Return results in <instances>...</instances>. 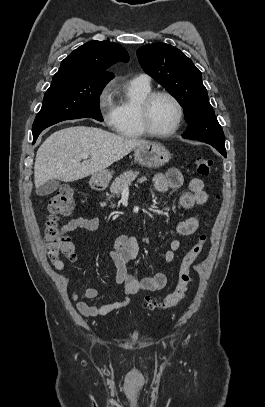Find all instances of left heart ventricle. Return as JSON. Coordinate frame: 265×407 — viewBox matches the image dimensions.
I'll list each match as a JSON object with an SVG mask.
<instances>
[{
	"instance_id": "1",
	"label": "left heart ventricle",
	"mask_w": 265,
	"mask_h": 407,
	"mask_svg": "<svg viewBox=\"0 0 265 407\" xmlns=\"http://www.w3.org/2000/svg\"><path fill=\"white\" fill-rule=\"evenodd\" d=\"M178 110L175 103L166 96L155 99L151 106L150 121L152 127L160 132L170 130L176 123Z\"/></svg>"
}]
</instances>
